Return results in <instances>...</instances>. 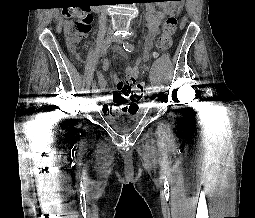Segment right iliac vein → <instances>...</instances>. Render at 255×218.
<instances>
[{"mask_svg":"<svg viewBox=\"0 0 255 218\" xmlns=\"http://www.w3.org/2000/svg\"><path fill=\"white\" fill-rule=\"evenodd\" d=\"M110 39H112L110 36L108 37ZM94 94H97L98 90L97 91H92Z\"/></svg>","mask_w":255,"mask_h":218,"instance_id":"obj_1","label":"right iliac vein"}]
</instances>
